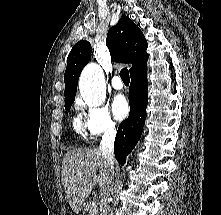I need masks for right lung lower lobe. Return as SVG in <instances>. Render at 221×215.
Wrapping results in <instances>:
<instances>
[{"instance_id":"98d812e1","label":"right lung lower lobe","mask_w":221,"mask_h":215,"mask_svg":"<svg viewBox=\"0 0 221 215\" xmlns=\"http://www.w3.org/2000/svg\"><path fill=\"white\" fill-rule=\"evenodd\" d=\"M146 64L130 74V115L120 124L114 143L115 157L120 164L125 163L124 157L135 147L143 131L148 102Z\"/></svg>"}]
</instances>
